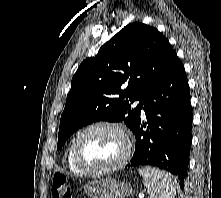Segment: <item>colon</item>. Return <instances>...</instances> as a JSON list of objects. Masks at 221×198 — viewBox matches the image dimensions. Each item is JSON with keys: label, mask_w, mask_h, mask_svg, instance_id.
<instances>
[{"label": "colon", "mask_w": 221, "mask_h": 198, "mask_svg": "<svg viewBox=\"0 0 221 198\" xmlns=\"http://www.w3.org/2000/svg\"><path fill=\"white\" fill-rule=\"evenodd\" d=\"M52 197L53 198H73L72 190L67 183L66 177L58 174L53 178L52 186Z\"/></svg>", "instance_id": "1"}]
</instances>
